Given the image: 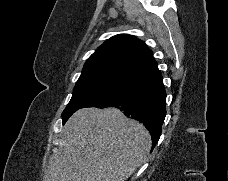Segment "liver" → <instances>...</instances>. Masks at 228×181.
I'll return each mask as SVG.
<instances>
[{"mask_svg": "<svg viewBox=\"0 0 228 181\" xmlns=\"http://www.w3.org/2000/svg\"><path fill=\"white\" fill-rule=\"evenodd\" d=\"M63 147L46 181H127L147 163L149 131L119 109H79L63 127Z\"/></svg>", "mask_w": 228, "mask_h": 181, "instance_id": "obj_1", "label": "liver"}]
</instances>
